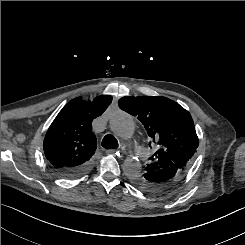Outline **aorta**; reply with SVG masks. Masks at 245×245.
Returning a JSON list of instances; mask_svg holds the SVG:
<instances>
[{"mask_svg": "<svg viewBox=\"0 0 245 245\" xmlns=\"http://www.w3.org/2000/svg\"><path fill=\"white\" fill-rule=\"evenodd\" d=\"M111 131L119 138L128 140L134 134V122L130 115L125 112L118 111L110 121ZM142 166L140 161L132 156L125 159L123 163V171L129 179H133L141 174Z\"/></svg>", "mask_w": 245, "mask_h": 245, "instance_id": "1", "label": "aorta"}]
</instances>
